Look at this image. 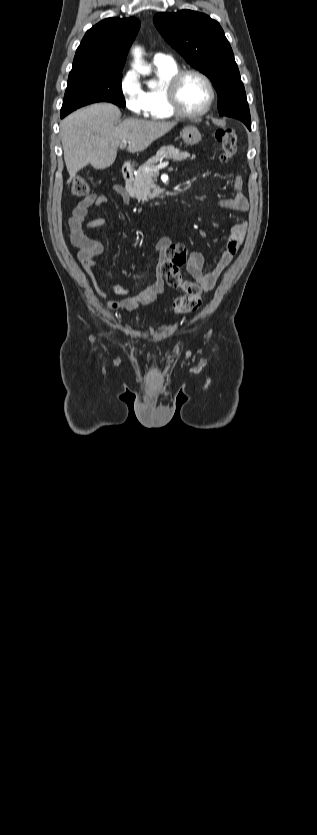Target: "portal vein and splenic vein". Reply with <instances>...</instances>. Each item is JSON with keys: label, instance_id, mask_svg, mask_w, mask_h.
I'll use <instances>...</instances> for the list:
<instances>
[{"label": "portal vein and splenic vein", "instance_id": "18ae733b", "mask_svg": "<svg viewBox=\"0 0 317 835\" xmlns=\"http://www.w3.org/2000/svg\"><path fill=\"white\" fill-rule=\"evenodd\" d=\"M127 143H129V142L124 141L122 144H120V148L124 149L126 147ZM168 165H169V162H161L157 166H153V167H150V168H145V172H151V171L156 172V171H159L160 169L166 168Z\"/></svg>", "mask_w": 317, "mask_h": 835}]
</instances>
